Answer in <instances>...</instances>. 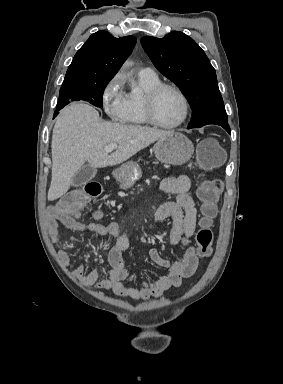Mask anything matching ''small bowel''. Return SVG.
<instances>
[{"instance_id": "obj_1", "label": "small bowel", "mask_w": 283, "mask_h": 384, "mask_svg": "<svg viewBox=\"0 0 283 384\" xmlns=\"http://www.w3.org/2000/svg\"><path fill=\"white\" fill-rule=\"evenodd\" d=\"M162 191L176 194L175 201L161 204L154 215V222L171 218L173 221L168 242L170 245H180L183 257L179 261H169L163 258L159 251L152 248L149 251L150 259L167 273L152 282H142L139 287L128 286L125 281L129 277L124 255L129 248V236L120 230L116 223H81L74 219L67 211L60 210L57 206L47 209V230L53 243H59V228L65 227L73 231L91 233L101 237L113 236L116 243L109 252L108 260L111 266L109 275L100 279L97 268L85 273L83 264L74 270V276L85 286L97 290H109L113 294L134 300H147L159 297L171 287H179L184 279L191 277L199 263L198 252L191 244L197 222V210L192 195V182L187 175H170L160 182ZM61 263L65 266L70 263V255L65 249L58 252Z\"/></svg>"}]
</instances>
